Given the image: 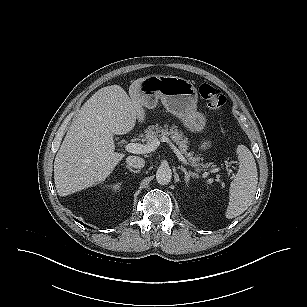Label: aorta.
<instances>
[{
    "mask_svg": "<svg viewBox=\"0 0 307 307\" xmlns=\"http://www.w3.org/2000/svg\"><path fill=\"white\" fill-rule=\"evenodd\" d=\"M172 172L168 166H160L156 172V180L159 184L165 185L171 181Z\"/></svg>",
    "mask_w": 307,
    "mask_h": 307,
    "instance_id": "762f6f07",
    "label": "aorta"
}]
</instances>
